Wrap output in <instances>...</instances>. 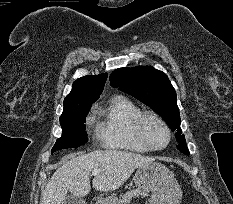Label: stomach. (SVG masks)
<instances>
[{
    "mask_svg": "<svg viewBox=\"0 0 233 204\" xmlns=\"http://www.w3.org/2000/svg\"><path fill=\"white\" fill-rule=\"evenodd\" d=\"M133 179L139 188L152 192L149 204H180L182 191L165 165L158 162L142 165Z\"/></svg>",
    "mask_w": 233,
    "mask_h": 204,
    "instance_id": "obj_1",
    "label": "stomach"
}]
</instances>
